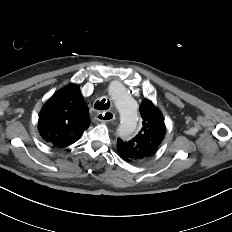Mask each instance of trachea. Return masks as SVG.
Masks as SVG:
<instances>
[{"mask_svg": "<svg viewBox=\"0 0 232 232\" xmlns=\"http://www.w3.org/2000/svg\"><path fill=\"white\" fill-rule=\"evenodd\" d=\"M94 107L98 110H107L110 107V102L104 98L101 101H97Z\"/></svg>", "mask_w": 232, "mask_h": 232, "instance_id": "obj_1", "label": "trachea"}]
</instances>
